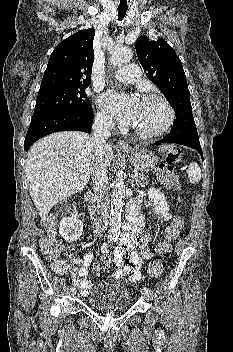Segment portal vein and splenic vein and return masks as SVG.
Returning a JSON list of instances; mask_svg holds the SVG:
<instances>
[{"instance_id":"obj_1","label":"portal vein and splenic vein","mask_w":233,"mask_h":352,"mask_svg":"<svg viewBox=\"0 0 233 352\" xmlns=\"http://www.w3.org/2000/svg\"><path fill=\"white\" fill-rule=\"evenodd\" d=\"M133 177L137 178V177H139V174L138 173H134Z\"/></svg>"}]
</instances>
